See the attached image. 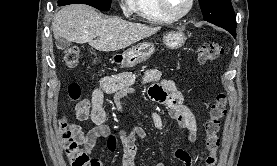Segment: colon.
Listing matches in <instances>:
<instances>
[{
  "label": "colon",
  "instance_id": "colon-1",
  "mask_svg": "<svg viewBox=\"0 0 277 166\" xmlns=\"http://www.w3.org/2000/svg\"><path fill=\"white\" fill-rule=\"evenodd\" d=\"M224 53V48L217 42H206L197 49V57L200 63H208L217 60ZM80 53L77 47H70L64 52V61L69 68L78 65ZM81 89L78 83H71L68 86L69 98L73 101L78 100ZM228 107L226 95L219 92L214 97L208 117L204 121L206 157L204 166H216L218 162L217 152L220 145L218 136L221 119L225 116ZM59 129L62 135V142L65 153L68 157L70 166H94L95 162L86 155L80 148L82 132L78 126L71 123L68 119L62 118L59 122Z\"/></svg>",
  "mask_w": 277,
  "mask_h": 166
}]
</instances>
